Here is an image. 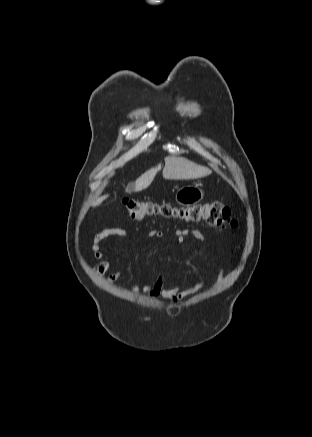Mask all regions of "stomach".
I'll return each instance as SVG.
<instances>
[{
  "instance_id": "stomach-1",
  "label": "stomach",
  "mask_w": 312,
  "mask_h": 437,
  "mask_svg": "<svg viewBox=\"0 0 312 437\" xmlns=\"http://www.w3.org/2000/svg\"><path fill=\"white\" fill-rule=\"evenodd\" d=\"M204 197V192L197 185H185L180 187L175 195L178 204L189 206L198 203Z\"/></svg>"
}]
</instances>
